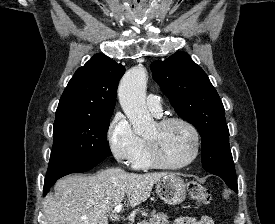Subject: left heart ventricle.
Masks as SVG:
<instances>
[{"label": "left heart ventricle", "instance_id": "1", "mask_svg": "<svg viewBox=\"0 0 275 224\" xmlns=\"http://www.w3.org/2000/svg\"><path fill=\"white\" fill-rule=\"evenodd\" d=\"M145 138L156 145L160 155L168 163H183L193 154L192 133L181 123H170L162 128L155 123L146 133Z\"/></svg>", "mask_w": 275, "mask_h": 224}]
</instances>
